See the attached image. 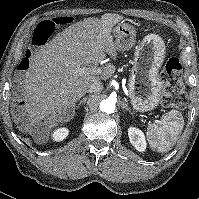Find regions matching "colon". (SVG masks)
I'll return each mask as SVG.
<instances>
[{"instance_id": "1", "label": "colon", "mask_w": 199, "mask_h": 199, "mask_svg": "<svg viewBox=\"0 0 199 199\" xmlns=\"http://www.w3.org/2000/svg\"><path fill=\"white\" fill-rule=\"evenodd\" d=\"M60 23V18H51L43 21L35 31L32 43L34 45L45 44L47 39L55 31L56 26ZM27 56L29 57L30 53H28ZM182 69V63L177 57H172L165 63L162 72L165 93L161 99V104L165 107L183 106L186 103V98L183 95V85L180 81Z\"/></svg>"}]
</instances>
